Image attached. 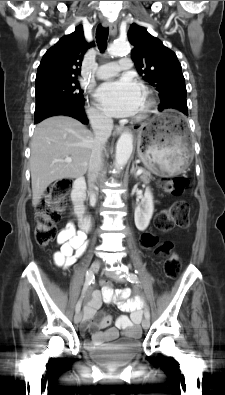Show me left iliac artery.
<instances>
[{"label": "left iliac artery", "mask_w": 225, "mask_h": 395, "mask_svg": "<svg viewBox=\"0 0 225 395\" xmlns=\"http://www.w3.org/2000/svg\"><path fill=\"white\" fill-rule=\"evenodd\" d=\"M126 278L131 283H139V279L135 273H127ZM144 315H145V318H148V319L150 318V312H149L148 307L145 308Z\"/></svg>", "instance_id": "44dca946"}]
</instances>
